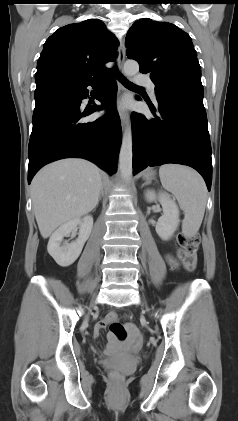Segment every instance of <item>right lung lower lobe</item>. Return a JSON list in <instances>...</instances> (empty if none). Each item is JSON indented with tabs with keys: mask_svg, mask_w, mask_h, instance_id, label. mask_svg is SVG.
I'll return each mask as SVG.
<instances>
[{
	"mask_svg": "<svg viewBox=\"0 0 238 421\" xmlns=\"http://www.w3.org/2000/svg\"><path fill=\"white\" fill-rule=\"evenodd\" d=\"M99 82L100 79L36 82L33 129L28 148V183L45 164L69 157L90 160L110 174L116 172L122 131L115 110L117 84L114 78L108 79L96 96L108 108L107 114L86 121L87 116L101 107L82 105L89 92L87 86L95 88Z\"/></svg>",
	"mask_w": 238,
	"mask_h": 421,
	"instance_id": "obj_1",
	"label": "right lung lower lobe"
}]
</instances>
